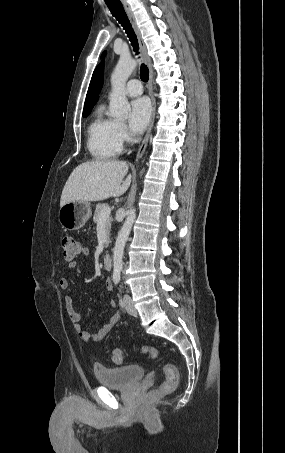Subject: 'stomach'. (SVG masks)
<instances>
[{
	"label": "stomach",
	"instance_id": "stomach-1",
	"mask_svg": "<svg viewBox=\"0 0 285 453\" xmlns=\"http://www.w3.org/2000/svg\"><path fill=\"white\" fill-rule=\"evenodd\" d=\"M91 215L90 203L79 200L61 206L58 212V220L65 230H78L85 225Z\"/></svg>",
	"mask_w": 285,
	"mask_h": 453
}]
</instances>
